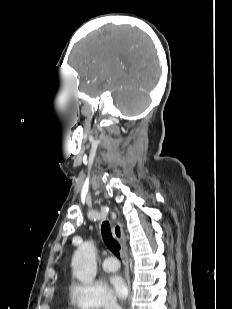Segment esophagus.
Masks as SVG:
<instances>
[{
    "label": "esophagus",
    "mask_w": 232,
    "mask_h": 309,
    "mask_svg": "<svg viewBox=\"0 0 232 309\" xmlns=\"http://www.w3.org/2000/svg\"><path fill=\"white\" fill-rule=\"evenodd\" d=\"M113 234L114 237L120 242L121 244V253L125 264V273H126V280L128 284L129 289V296L128 301L131 299V285H130V274H129V262H128V255H127V247H126V241L125 236L123 232V228L120 223H115L113 226Z\"/></svg>",
    "instance_id": "esophagus-1"
}]
</instances>
